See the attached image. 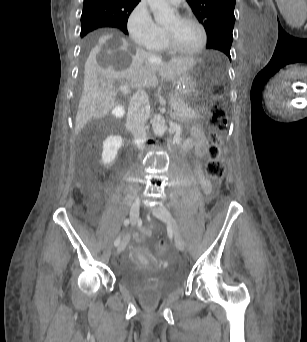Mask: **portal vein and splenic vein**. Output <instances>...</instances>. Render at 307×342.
Segmentation results:
<instances>
[{"label": "portal vein and splenic vein", "instance_id": "1", "mask_svg": "<svg viewBox=\"0 0 307 342\" xmlns=\"http://www.w3.org/2000/svg\"><path fill=\"white\" fill-rule=\"evenodd\" d=\"M123 84H126V81H123ZM132 89L130 88V87H128V86H121L120 87V92L121 93H128V92H130ZM172 110H174V111H177L179 108L177 107V106H174V107H172L171 108Z\"/></svg>", "mask_w": 307, "mask_h": 342}]
</instances>
